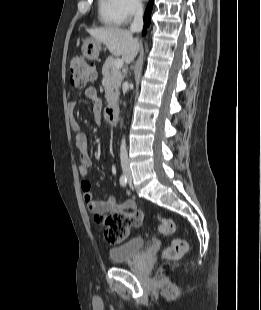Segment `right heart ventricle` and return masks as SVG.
I'll use <instances>...</instances> for the list:
<instances>
[{
	"label": "right heart ventricle",
	"mask_w": 261,
	"mask_h": 310,
	"mask_svg": "<svg viewBox=\"0 0 261 310\" xmlns=\"http://www.w3.org/2000/svg\"><path fill=\"white\" fill-rule=\"evenodd\" d=\"M99 21L109 27H117L122 23L116 11V0H98L97 5Z\"/></svg>",
	"instance_id": "e07e8e85"
}]
</instances>
